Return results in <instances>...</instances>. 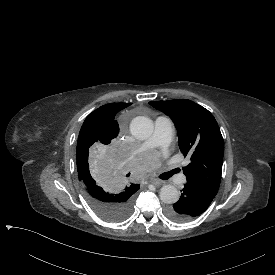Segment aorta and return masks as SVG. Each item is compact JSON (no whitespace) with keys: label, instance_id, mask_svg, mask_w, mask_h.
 <instances>
[{"label":"aorta","instance_id":"762f6f07","mask_svg":"<svg viewBox=\"0 0 275 275\" xmlns=\"http://www.w3.org/2000/svg\"><path fill=\"white\" fill-rule=\"evenodd\" d=\"M154 130L151 119L145 116H137L130 123V132L137 140L149 138ZM180 193L173 185H164L160 189V199L163 203L173 204L179 200Z\"/></svg>","mask_w":275,"mask_h":275}]
</instances>
